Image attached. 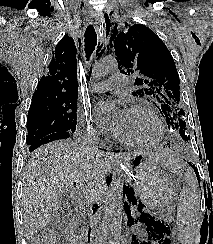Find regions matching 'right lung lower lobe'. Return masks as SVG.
<instances>
[{
    "instance_id": "obj_1",
    "label": "right lung lower lobe",
    "mask_w": 213,
    "mask_h": 244,
    "mask_svg": "<svg viewBox=\"0 0 213 244\" xmlns=\"http://www.w3.org/2000/svg\"><path fill=\"white\" fill-rule=\"evenodd\" d=\"M72 132L70 131H60L56 133H52L50 135H47L46 137L36 141L35 143L30 144L29 151L32 152L41 145L47 144L49 142L60 140V139H66L69 138Z\"/></svg>"
}]
</instances>
